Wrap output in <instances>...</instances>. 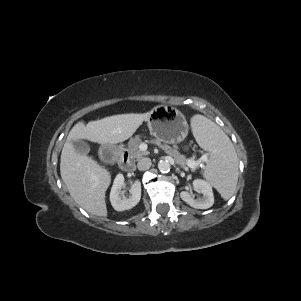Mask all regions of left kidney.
Here are the masks:
<instances>
[{"instance_id":"obj_1","label":"left kidney","mask_w":301,"mask_h":301,"mask_svg":"<svg viewBox=\"0 0 301 301\" xmlns=\"http://www.w3.org/2000/svg\"><path fill=\"white\" fill-rule=\"evenodd\" d=\"M193 188L196 192L201 193L203 196L195 199L194 195L187 191H182L180 193L181 199L193 208H210L214 203V196L210 183L201 179H196L193 181Z\"/></svg>"}]
</instances>
